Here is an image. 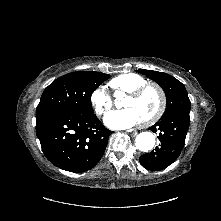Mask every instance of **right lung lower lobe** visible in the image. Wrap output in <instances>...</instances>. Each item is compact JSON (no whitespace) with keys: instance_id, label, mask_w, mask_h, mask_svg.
<instances>
[{"instance_id":"right-lung-lower-lobe-1","label":"right lung lower lobe","mask_w":221,"mask_h":221,"mask_svg":"<svg viewBox=\"0 0 221 221\" xmlns=\"http://www.w3.org/2000/svg\"><path fill=\"white\" fill-rule=\"evenodd\" d=\"M111 133L95 114L62 112L36 121V134L46 158L75 173L88 171L99 162Z\"/></svg>"}]
</instances>
